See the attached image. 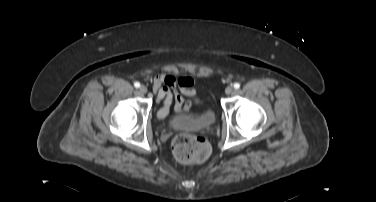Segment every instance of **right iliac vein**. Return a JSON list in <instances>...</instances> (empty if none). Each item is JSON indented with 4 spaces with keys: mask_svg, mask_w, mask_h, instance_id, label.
I'll return each instance as SVG.
<instances>
[{
    "mask_svg": "<svg viewBox=\"0 0 376 202\" xmlns=\"http://www.w3.org/2000/svg\"><path fill=\"white\" fill-rule=\"evenodd\" d=\"M139 92L141 93V94H146L147 93V88L145 87V86H140L139 87Z\"/></svg>",
    "mask_w": 376,
    "mask_h": 202,
    "instance_id": "obj_1",
    "label": "right iliac vein"
}]
</instances>
